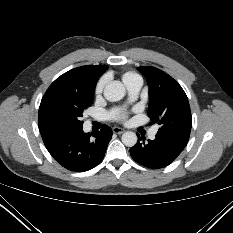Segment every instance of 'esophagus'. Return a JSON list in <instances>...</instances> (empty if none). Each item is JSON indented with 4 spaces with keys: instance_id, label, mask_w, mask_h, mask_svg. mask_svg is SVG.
I'll use <instances>...</instances> for the list:
<instances>
[{
    "instance_id": "obj_1",
    "label": "esophagus",
    "mask_w": 233,
    "mask_h": 233,
    "mask_svg": "<svg viewBox=\"0 0 233 233\" xmlns=\"http://www.w3.org/2000/svg\"><path fill=\"white\" fill-rule=\"evenodd\" d=\"M112 131L115 134H122L125 130L123 128L115 126V127H113Z\"/></svg>"
}]
</instances>
